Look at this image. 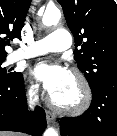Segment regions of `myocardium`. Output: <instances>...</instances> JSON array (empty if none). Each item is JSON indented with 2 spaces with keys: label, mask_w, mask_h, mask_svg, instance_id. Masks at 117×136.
<instances>
[{
  "label": "myocardium",
  "mask_w": 117,
  "mask_h": 136,
  "mask_svg": "<svg viewBox=\"0 0 117 136\" xmlns=\"http://www.w3.org/2000/svg\"><path fill=\"white\" fill-rule=\"evenodd\" d=\"M70 75L75 79L78 89V99L72 104H62L53 96L49 97L50 106L60 113L79 115L84 113L92 103V89L86 76L78 69H71Z\"/></svg>",
  "instance_id": "myocardium-1"
}]
</instances>
